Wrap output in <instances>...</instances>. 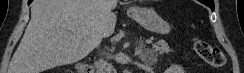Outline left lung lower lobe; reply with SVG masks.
I'll return each instance as SVG.
<instances>
[{"label":"left lung lower lobe","mask_w":244,"mask_h":73,"mask_svg":"<svg viewBox=\"0 0 244 73\" xmlns=\"http://www.w3.org/2000/svg\"><path fill=\"white\" fill-rule=\"evenodd\" d=\"M212 1L213 0H200V2H202L203 4L207 5L208 7L211 8V10L213 11L214 10V6H212ZM213 4H214V1H213Z\"/></svg>","instance_id":"1"}]
</instances>
